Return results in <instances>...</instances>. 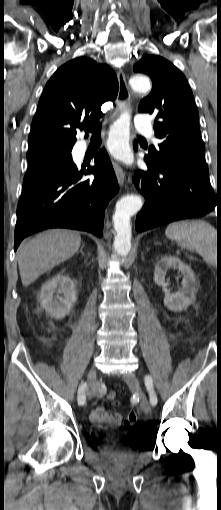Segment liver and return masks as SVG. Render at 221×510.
Returning a JSON list of instances; mask_svg holds the SVG:
<instances>
[{
  "mask_svg": "<svg viewBox=\"0 0 221 510\" xmlns=\"http://www.w3.org/2000/svg\"><path fill=\"white\" fill-rule=\"evenodd\" d=\"M81 237L65 229H52L40 233L18 248V266L23 286H28L43 273L68 260L78 250Z\"/></svg>",
  "mask_w": 221,
  "mask_h": 510,
  "instance_id": "1",
  "label": "liver"
}]
</instances>
